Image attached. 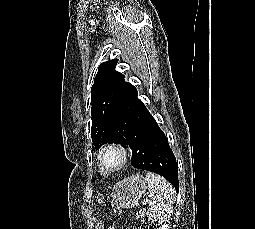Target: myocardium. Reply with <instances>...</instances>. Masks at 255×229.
Returning <instances> with one entry per match:
<instances>
[{
    "label": "myocardium",
    "instance_id": "obj_1",
    "mask_svg": "<svg viewBox=\"0 0 255 229\" xmlns=\"http://www.w3.org/2000/svg\"><path fill=\"white\" fill-rule=\"evenodd\" d=\"M110 151L117 152L120 156L119 161L114 165H108L105 163V160H104L105 154ZM97 160L102 170H105V171L119 170L127 164L129 160V151L124 145L120 143H116V142L106 143L100 148L97 154Z\"/></svg>",
    "mask_w": 255,
    "mask_h": 229
}]
</instances>
